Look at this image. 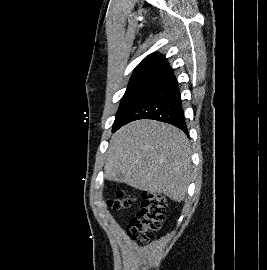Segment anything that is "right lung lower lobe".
I'll return each instance as SVG.
<instances>
[{"mask_svg":"<svg viewBox=\"0 0 267 270\" xmlns=\"http://www.w3.org/2000/svg\"><path fill=\"white\" fill-rule=\"evenodd\" d=\"M139 119L166 122L188 133L178 82L170 66L155 76L147 90L126 114L122 126Z\"/></svg>","mask_w":267,"mask_h":270,"instance_id":"right-lung-lower-lobe-1","label":"right lung lower lobe"}]
</instances>
